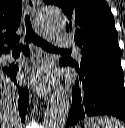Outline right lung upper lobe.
I'll list each match as a JSON object with an SVG mask.
<instances>
[{"label": "right lung upper lobe", "instance_id": "cb5924a9", "mask_svg": "<svg viewBox=\"0 0 125 128\" xmlns=\"http://www.w3.org/2000/svg\"><path fill=\"white\" fill-rule=\"evenodd\" d=\"M21 13V0H0V55L12 49L20 39L16 30L20 25Z\"/></svg>", "mask_w": 125, "mask_h": 128}]
</instances>
